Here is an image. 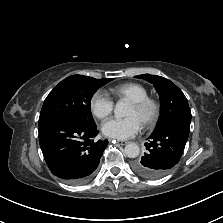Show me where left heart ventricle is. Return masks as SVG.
Wrapping results in <instances>:
<instances>
[{"instance_id": "left-heart-ventricle-1", "label": "left heart ventricle", "mask_w": 223, "mask_h": 223, "mask_svg": "<svg viewBox=\"0 0 223 223\" xmlns=\"http://www.w3.org/2000/svg\"><path fill=\"white\" fill-rule=\"evenodd\" d=\"M127 116H134L136 117L140 122L143 118V114L139 112L132 104L129 106L128 111L126 113Z\"/></svg>"}]
</instances>
